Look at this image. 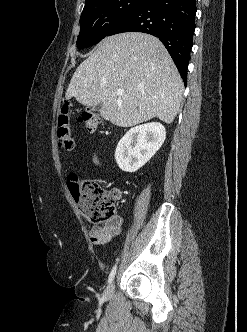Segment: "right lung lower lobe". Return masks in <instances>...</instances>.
Masks as SVG:
<instances>
[{
    "label": "right lung lower lobe",
    "instance_id": "right-lung-lower-lobe-1",
    "mask_svg": "<svg viewBox=\"0 0 247 332\" xmlns=\"http://www.w3.org/2000/svg\"><path fill=\"white\" fill-rule=\"evenodd\" d=\"M196 11L195 0H147L122 17L107 36L122 32L155 35L170 53L186 86Z\"/></svg>",
    "mask_w": 247,
    "mask_h": 332
}]
</instances>
